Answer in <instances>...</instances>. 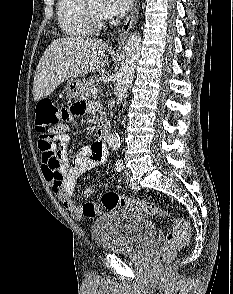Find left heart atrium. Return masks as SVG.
<instances>
[{
	"mask_svg": "<svg viewBox=\"0 0 233 294\" xmlns=\"http://www.w3.org/2000/svg\"><path fill=\"white\" fill-rule=\"evenodd\" d=\"M133 0H106L104 13L108 17L124 14L132 5Z\"/></svg>",
	"mask_w": 233,
	"mask_h": 294,
	"instance_id": "39dd6f15",
	"label": "left heart atrium"
}]
</instances>
